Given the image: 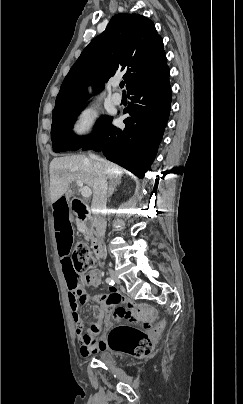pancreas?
<instances>
[{"mask_svg": "<svg viewBox=\"0 0 243 404\" xmlns=\"http://www.w3.org/2000/svg\"><path fill=\"white\" fill-rule=\"evenodd\" d=\"M77 228H78L79 232H81V234H84L85 240H89L90 234H88V232H86V228H85L83 222H80V220H77Z\"/></svg>", "mask_w": 243, "mask_h": 404, "instance_id": "1", "label": "pancreas"}]
</instances>
